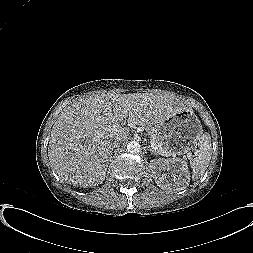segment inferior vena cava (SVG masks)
<instances>
[{
	"label": "inferior vena cava",
	"instance_id": "inferior-vena-cava-1",
	"mask_svg": "<svg viewBox=\"0 0 253 253\" xmlns=\"http://www.w3.org/2000/svg\"><path fill=\"white\" fill-rule=\"evenodd\" d=\"M119 142H120V140H119V139H116L115 141H113V142L111 143V147H116V146H118Z\"/></svg>",
	"mask_w": 253,
	"mask_h": 253
}]
</instances>
